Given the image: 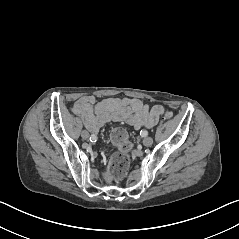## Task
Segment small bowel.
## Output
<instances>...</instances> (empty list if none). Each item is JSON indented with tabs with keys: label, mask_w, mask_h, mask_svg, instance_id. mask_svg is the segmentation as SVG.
<instances>
[{
	"label": "small bowel",
	"mask_w": 239,
	"mask_h": 239,
	"mask_svg": "<svg viewBox=\"0 0 239 239\" xmlns=\"http://www.w3.org/2000/svg\"><path fill=\"white\" fill-rule=\"evenodd\" d=\"M72 111L80 116L85 127L96 133L109 122L122 121L135 129L154 126L163 114L161 105L149 107L136 98H107L97 101L94 96H83L72 106Z\"/></svg>",
	"instance_id": "c3829d8e"
}]
</instances>
